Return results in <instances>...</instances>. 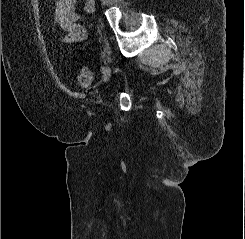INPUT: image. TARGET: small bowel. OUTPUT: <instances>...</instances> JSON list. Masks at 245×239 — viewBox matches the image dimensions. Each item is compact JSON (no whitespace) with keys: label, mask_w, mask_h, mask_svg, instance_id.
I'll list each match as a JSON object with an SVG mask.
<instances>
[{"label":"small bowel","mask_w":245,"mask_h":239,"mask_svg":"<svg viewBox=\"0 0 245 239\" xmlns=\"http://www.w3.org/2000/svg\"><path fill=\"white\" fill-rule=\"evenodd\" d=\"M78 0H58L55 6L57 24L68 33L66 41L76 42L84 39L83 17L78 13ZM95 9V0H85L84 11L91 13Z\"/></svg>","instance_id":"1"}]
</instances>
